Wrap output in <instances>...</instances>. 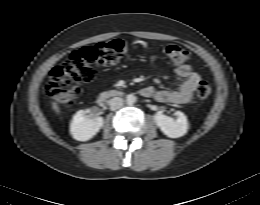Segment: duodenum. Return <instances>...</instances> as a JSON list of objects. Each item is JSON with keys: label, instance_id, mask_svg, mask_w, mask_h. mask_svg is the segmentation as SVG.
I'll return each mask as SVG.
<instances>
[{"label": "duodenum", "instance_id": "obj_1", "mask_svg": "<svg viewBox=\"0 0 260 205\" xmlns=\"http://www.w3.org/2000/svg\"><path fill=\"white\" fill-rule=\"evenodd\" d=\"M117 95H120V93L115 92V91H108V92H104V93L101 95V98L105 99V98H107V97L117 96Z\"/></svg>", "mask_w": 260, "mask_h": 205}]
</instances>
